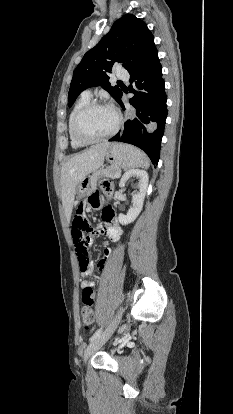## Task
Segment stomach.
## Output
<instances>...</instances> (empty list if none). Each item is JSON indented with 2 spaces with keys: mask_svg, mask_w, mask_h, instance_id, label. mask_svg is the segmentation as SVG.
<instances>
[{
  "mask_svg": "<svg viewBox=\"0 0 233 414\" xmlns=\"http://www.w3.org/2000/svg\"><path fill=\"white\" fill-rule=\"evenodd\" d=\"M144 153L139 149L121 143L112 144L106 151L105 158L110 163L111 167L118 168H133L138 167L144 161ZM90 182L89 176H84L83 180L78 183L76 194L79 197H84L88 193L87 183Z\"/></svg>",
  "mask_w": 233,
  "mask_h": 414,
  "instance_id": "1",
  "label": "stomach"
}]
</instances>
